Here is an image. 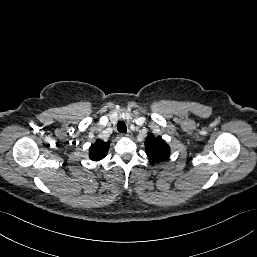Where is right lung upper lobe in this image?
I'll use <instances>...</instances> for the list:
<instances>
[{"label":"right lung upper lobe","mask_w":257,"mask_h":257,"mask_svg":"<svg viewBox=\"0 0 257 257\" xmlns=\"http://www.w3.org/2000/svg\"><path fill=\"white\" fill-rule=\"evenodd\" d=\"M109 143H105L102 140H97L94 144L91 145L89 149V157L93 161H98L103 159L109 150Z\"/></svg>","instance_id":"cb5924a9"}]
</instances>
